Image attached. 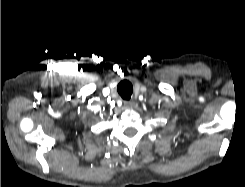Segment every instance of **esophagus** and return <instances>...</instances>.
Returning <instances> with one entry per match:
<instances>
[{
  "mask_svg": "<svg viewBox=\"0 0 245 187\" xmlns=\"http://www.w3.org/2000/svg\"><path fill=\"white\" fill-rule=\"evenodd\" d=\"M124 106L127 108H131L133 106V102L132 101H124Z\"/></svg>",
  "mask_w": 245,
  "mask_h": 187,
  "instance_id": "obj_1",
  "label": "esophagus"
}]
</instances>
